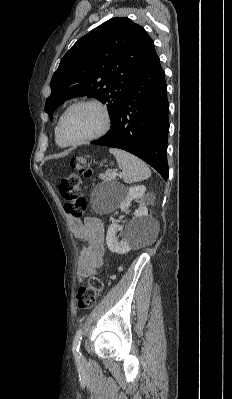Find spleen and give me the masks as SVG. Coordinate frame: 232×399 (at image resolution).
Here are the masks:
<instances>
[{
  "instance_id": "obj_1",
  "label": "spleen",
  "mask_w": 232,
  "mask_h": 399,
  "mask_svg": "<svg viewBox=\"0 0 232 399\" xmlns=\"http://www.w3.org/2000/svg\"><path fill=\"white\" fill-rule=\"evenodd\" d=\"M109 152L115 156L119 168L123 170L122 178L125 184H133V182H141V180L150 178L151 172L147 164H144L139 158H135L124 150H116V148H110Z\"/></svg>"
}]
</instances>
